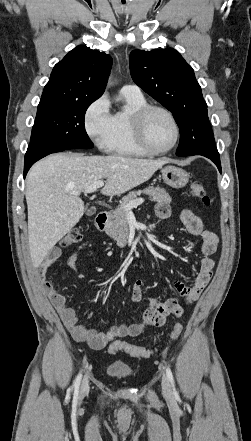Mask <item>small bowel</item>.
<instances>
[{
    "label": "small bowel",
    "instance_id": "1",
    "mask_svg": "<svg viewBox=\"0 0 251 441\" xmlns=\"http://www.w3.org/2000/svg\"><path fill=\"white\" fill-rule=\"evenodd\" d=\"M156 216L160 219H167L170 216V208L166 203H158L155 208ZM180 219L185 225L187 231L193 236L202 238L201 254L198 273L191 286H186L182 282L176 281L174 287L183 297L186 304L195 302L209 284L212 278L214 261L210 257L217 248V235L204 229L201 219L191 210L183 209ZM87 243L82 244L70 255L67 264L72 270L77 269L78 252L84 248ZM61 251L59 248H53L45 259L36 267V277L51 303L58 311L65 327L74 338V340L88 345L94 350H100L112 343L117 338L136 337L144 333L149 327H160L165 324L169 315L181 317L184 313L182 305L176 298H168L165 301H158L150 297L149 306L142 312V321L139 323L122 324L111 326L108 331L101 332L95 328H88L78 323L76 312L69 307L66 298L58 292L53 285L46 280L45 274L47 268L52 265L59 257ZM133 301L140 302L143 298V280L138 279L134 282L131 289ZM92 313L89 314L91 317Z\"/></svg>",
    "mask_w": 251,
    "mask_h": 441
}]
</instances>
